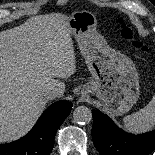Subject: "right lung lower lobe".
I'll return each mask as SVG.
<instances>
[{"label": "right lung lower lobe", "mask_w": 155, "mask_h": 155, "mask_svg": "<svg viewBox=\"0 0 155 155\" xmlns=\"http://www.w3.org/2000/svg\"><path fill=\"white\" fill-rule=\"evenodd\" d=\"M72 103L58 101L47 108L32 130L21 139L0 145V155H49L57 129L69 115Z\"/></svg>", "instance_id": "obj_1"}]
</instances>
